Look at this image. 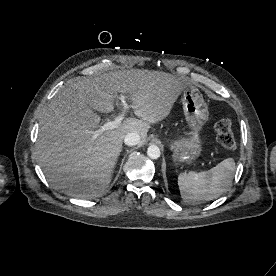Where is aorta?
Segmentation results:
<instances>
[{"mask_svg": "<svg viewBox=\"0 0 276 276\" xmlns=\"http://www.w3.org/2000/svg\"><path fill=\"white\" fill-rule=\"evenodd\" d=\"M147 155L151 159H158L161 155L159 147L156 145H150L147 149Z\"/></svg>", "mask_w": 276, "mask_h": 276, "instance_id": "obj_1", "label": "aorta"}]
</instances>
